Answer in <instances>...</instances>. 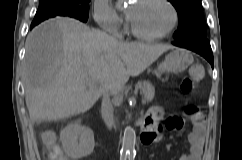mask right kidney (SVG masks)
I'll use <instances>...</instances> for the list:
<instances>
[{
    "label": "right kidney",
    "mask_w": 242,
    "mask_h": 160,
    "mask_svg": "<svg viewBox=\"0 0 242 160\" xmlns=\"http://www.w3.org/2000/svg\"><path fill=\"white\" fill-rule=\"evenodd\" d=\"M65 154L73 159L90 155L95 146L93 131L78 123L67 125L60 133Z\"/></svg>",
    "instance_id": "right-kidney-1"
}]
</instances>
